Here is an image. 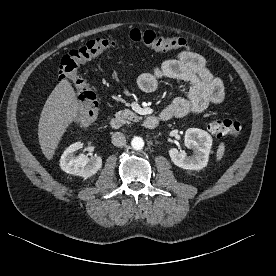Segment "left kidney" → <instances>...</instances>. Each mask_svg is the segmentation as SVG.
Here are the masks:
<instances>
[{
    "mask_svg": "<svg viewBox=\"0 0 276 276\" xmlns=\"http://www.w3.org/2000/svg\"><path fill=\"white\" fill-rule=\"evenodd\" d=\"M185 146L194 151L193 156L188 157L184 151L171 148L169 155L172 162L186 170H200L204 168L209 159L212 146V137L209 133L198 128H189L184 136Z\"/></svg>",
    "mask_w": 276,
    "mask_h": 276,
    "instance_id": "1",
    "label": "left kidney"
}]
</instances>
